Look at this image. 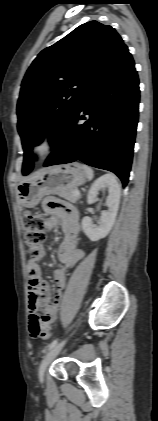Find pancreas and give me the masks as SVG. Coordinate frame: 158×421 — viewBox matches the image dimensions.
Wrapping results in <instances>:
<instances>
[{"instance_id": "cf45deb5", "label": "pancreas", "mask_w": 158, "mask_h": 421, "mask_svg": "<svg viewBox=\"0 0 158 421\" xmlns=\"http://www.w3.org/2000/svg\"><path fill=\"white\" fill-rule=\"evenodd\" d=\"M74 191H75V189H70V190L64 191V192L60 193V196L65 198L66 200L72 202V203H75L79 199V196H75L73 194Z\"/></svg>"}]
</instances>
